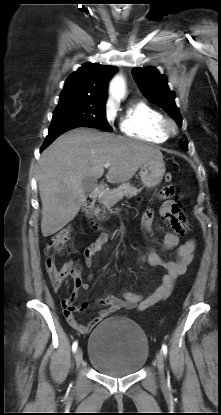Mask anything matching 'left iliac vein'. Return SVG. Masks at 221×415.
Here are the masks:
<instances>
[{
    "label": "left iliac vein",
    "instance_id": "left-iliac-vein-1",
    "mask_svg": "<svg viewBox=\"0 0 221 415\" xmlns=\"http://www.w3.org/2000/svg\"><path fill=\"white\" fill-rule=\"evenodd\" d=\"M156 362H157L159 377L161 380H163L164 379V357L161 351L158 352L156 355Z\"/></svg>",
    "mask_w": 221,
    "mask_h": 415
}]
</instances>
